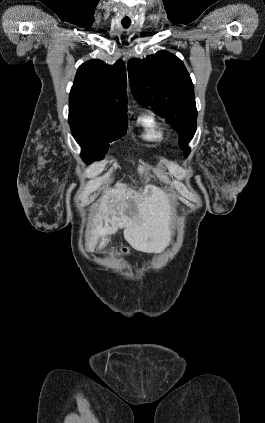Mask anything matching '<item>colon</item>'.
Segmentation results:
<instances>
[{
  "mask_svg": "<svg viewBox=\"0 0 265 423\" xmlns=\"http://www.w3.org/2000/svg\"><path fill=\"white\" fill-rule=\"evenodd\" d=\"M122 253H123V254H128V253H129L128 248H123V249H122Z\"/></svg>",
  "mask_w": 265,
  "mask_h": 423,
  "instance_id": "obj_1",
  "label": "colon"
}]
</instances>
